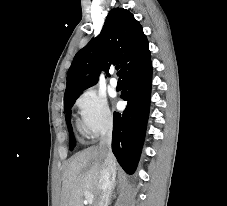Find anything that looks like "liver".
Returning a JSON list of instances; mask_svg holds the SVG:
<instances>
[{
  "mask_svg": "<svg viewBox=\"0 0 227 206\" xmlns=\"http://www.w3.org/2000/svg\"><path fill=\"white\" fill-rule=\"evenodd\" d=\"M103 161L98 146L89 147L72 157L63 174L60 206H83L85 192L93 194L92 206H97Z\"/></svg>",
  "mask_w": 227,
  "mask_h": 206,
  "instance_id": "1",
  "label": "liver"
}]
</instances>
